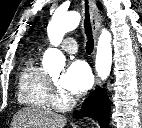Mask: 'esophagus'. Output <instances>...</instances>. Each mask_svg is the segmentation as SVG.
<instances>
[{
    "label": "esophagus",
    "mask_w": 142,
    "mask_h": 128,
    "mask_svg": "<svg viewBox=\"0 0 142 128\" xmlns=\"http://www.w3.org/2000/svg\"><path fill=\"white\" fill-rule=\"evenodd\" d=\"M90 15H91V24L93 30V37H94V54L96 51L97 40L99 36V26L101 22V14L96 5L95 0H90ZM101 85V81L97 75H95V83L93 89L97 88Z\"/></svg>",
    "instance_id": "obj_1"
}]
</instances>
